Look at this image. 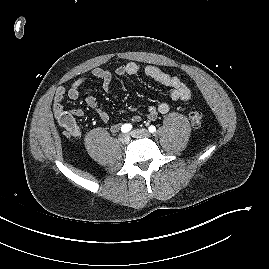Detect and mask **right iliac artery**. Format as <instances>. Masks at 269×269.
<instances>
[{
  "label": "right iliac artery",
  "mask_w": 269,
  "mask_h": 269,
  "mask_svg": "<svg viewBox=\"0 0 269 269\" xmlns=\"http://www.w3.org/2000/svg\"><path fill=\"white\" fill-rule=\"evenodd\" d=\"M131 129H132V125L131 124H124L121 127V131L123 133H126V132L130 131Z\"/></svg>",
  "instance_id": "1"
}]
</instances>
